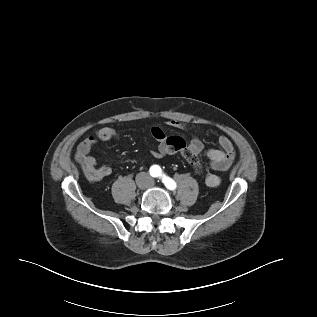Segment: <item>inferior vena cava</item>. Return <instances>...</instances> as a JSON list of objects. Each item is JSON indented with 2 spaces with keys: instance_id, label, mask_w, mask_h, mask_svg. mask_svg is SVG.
<instances>
[{
  "instance_id": "inferior-vena-cava-1",
  "label": "inferior vena cava",
  "mask_w": 317,
  "mask_h": 317,
  "mask_svg": "<svg viewBox=\"0 0 317 317\" xmlns=\"http://www.w3.org/2000/svg\"><path fill=\"white\" fill-rule=\"evenodd\" d=\"M139 177H142V178H145V179H149L148 174L145 173V172H141V173L139 174Z\"/></svg>"
}]
</instances>
